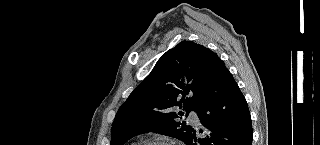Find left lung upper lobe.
<instances>
[{"mask_svg":"<svg viewBox=\"0 0 320 145\" xmlns=\"http://www.w3.org/2000/svg\"><path fill=\"white\" fill-rule=\"evenodd\" d=\"M219 60L209 48L192 41H182L168 50L119 108L110 145H123L132 137L147 132L187 143L194 129L177 120L188 116L190 111L198 112L202 83ZM175 106L183 112H173Z\"/></svg>","mask_w":320,"mask_h":145,"instance_id":"5c2ea615","label":"left lung upper lobe"}]
</instances>
